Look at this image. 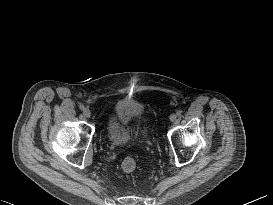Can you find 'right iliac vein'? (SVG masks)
<instances>
[{
    "mask_svg": "<svg viewBox=\"0 0 273 205\" xmlns=\"http://www.w3.org/2000/svg\"><path fill=\"white\" fill-rule=\"evenodd\" d=\"M83 114H84V116H85L86 118H90V116H91V112H90V110H89L88 108H85V109L83 110Z\"/></svg>",
    "mask_w": 273,
    "mask_h": 205,
    "instance_id": "obj_1",
    "label": "right iliac vein"
}]
</instances>
